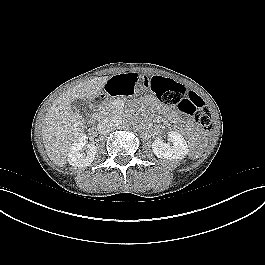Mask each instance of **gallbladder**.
Segmentation results:
<instances>
[{
    "instance_id": "obj_1",
    "label": "gallbladder",
    "mask_w": 265,
    "mask_h": 265,
    "mask_svg": "<svg viewBox=\"0 0 265 265\" xmlns=\"http://www.w3.org/2000/svg\"><path fill=\"white\" fill-rule=\"evenodd\" d=\"M72 109L79 113L84 119L89 120L92 115V109L89 103L85 100H74L71 103Z\"/></svg>"
}]
</instances>
